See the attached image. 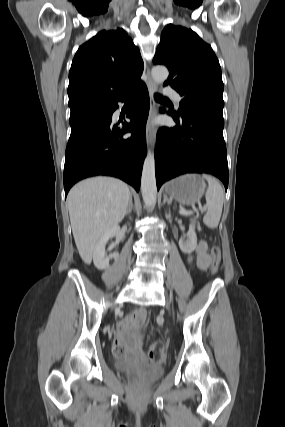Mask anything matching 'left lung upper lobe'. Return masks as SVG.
I'll list each match as a JSON object with an SVG mask.
<instances>
[{"label":"left lung upper lobe","instance_id":"left-lung-upper-lobe-1","mask_svg":"<svg viewBox=\"0 0 285 427\" xmlns=\"http://www.w3.org/2000/svg\"><path fill=\"white\" fill-rule=\"evenodd\" d=\"M154 64L167 66L171 85L182 97L178 116L197 111L222 115L221 67L210 45L191 29L169 24L161 33Z\"/></svg>","mask_w":285,"mask_h":427}]
</instances>
